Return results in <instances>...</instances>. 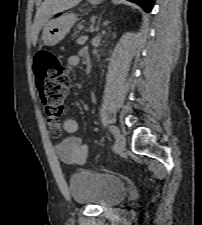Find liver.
<instances>
[{
  "label": "liver",
  "instance_id": "6515ba94",
  "mask_svg": "<svg viewBox=\"0 0 202 225\" xmlns=\"http://www.w3.org/2000/svg\"><path fill=\"white\" fill-rule=\"evenodd\" d=\"M81 0H44L37 9L34 24L32 26V43L36 44L38 34L49 20L57 13L71 9L78 5Z\"/></svg>",
  "mask_w": 202,
  "mask_h": 225
}]
</instances>
